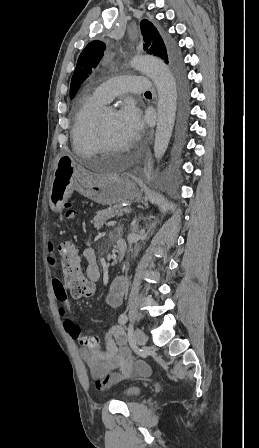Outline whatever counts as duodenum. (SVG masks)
<instances>
[{"mask_svg":"<svg viewBox=\"0 0 259 448\" xmlns=\"http://www.w3.org/2000/svg\"><path fill=\"white\" fill-rule=\"evenodd\" d=\"M126 251V244L123 241H118L117 242V254H118V259L121 260L125 254Z\"/></svg>","mask_w":259,"mask_h":448,"instance_id":"410a0bca","label":"duodenum"}]
</instances>
